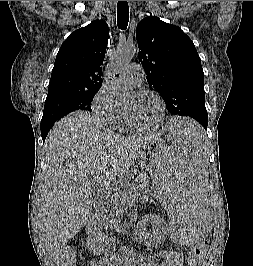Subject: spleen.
<instances>
[{"label": "spleen", "instance_id": "obj_1", "mask_svg": "<svg viewBox=\"0 0 253 266\" xmlns=\"http://www.w3.org/2000/svg\"><path fill=\"white\" fill-rule=\"evenodd\" d=\"M168 153L155 160L151 194L165 210L170 248H203L211 233L206 176L208 135H200L193 117H168Z\"/></svg>", "mask_w": 253, "mask_h": 266}]
</instances>
